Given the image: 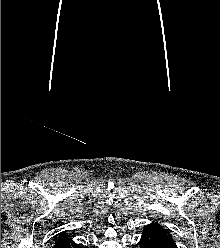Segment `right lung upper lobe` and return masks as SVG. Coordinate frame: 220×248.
<instances>
[{
	"instance_id": "1",
	"label": "right lung upper lobe",
	"mask_w": 220,
	"mask_h": 248,
	"mask_svg": "<svg viewBox=\"0 0 220 248\" xmlns=\"http://www.w3.org/2000/svg\"><path fill=\"white\" fill-rule=\"evenodd\" d=\"M66 236L64 234H60V236L57 238L56 242L61 241L62 239H65Z\"/></svg>"
}]
</instances>
